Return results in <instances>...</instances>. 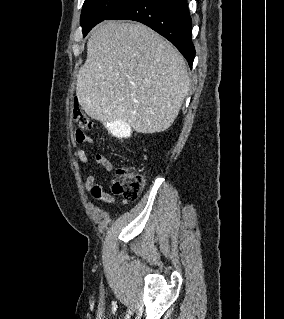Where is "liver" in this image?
<instances>
[{
    "label": "liver",
    "mask_w": 284,
    "mask_h": 319,
    "mask_svg": "<svg viewBox=\"0 0 284 319\" xmlns=\"http://www.w3.org/2000/svg\"><path fill=\"white\" fill-rule=\"evenodd\" d=\"M189 88L179 51L141 23L106 21L87 42L76 95L91 118L152 134L168 129Z\"/></svg>",
    "instance_id": "liver-1"
}]
</instances>
